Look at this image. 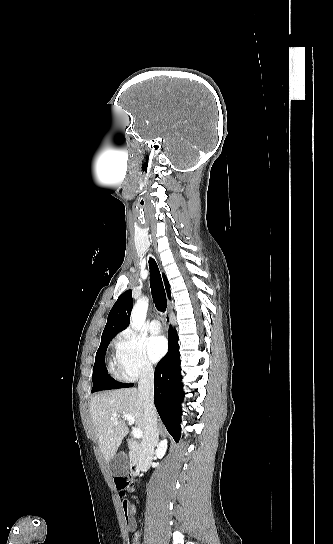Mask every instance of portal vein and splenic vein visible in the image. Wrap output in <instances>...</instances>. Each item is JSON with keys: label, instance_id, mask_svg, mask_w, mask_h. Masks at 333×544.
I'll return each mask as SVG.
<instances>
[{"label": "portal vein and splenic vein", "instance_id": "obj_1", "mask_svg": "<svg viewBox=\"0 0 333 544\" xmlns=\"http://www.w3.org/2000/svg\"><path fill=\"white\" fill-rule=\"evenodd\" d=\"M120 415L118 414H113L111 416V420H114L116 417H118ZM124 419H126L130 424H134L135 423V418L130 415V414H122L121 415ZM132 434H133V437L136 438V439H140L142 436H143V432L141 429H138V428H134L133 431H132Z\"/></svg>", "mask_w": 333, "mask_h": 544}]
</instances>
